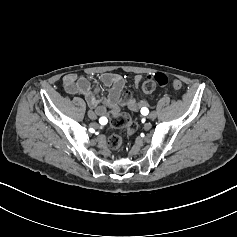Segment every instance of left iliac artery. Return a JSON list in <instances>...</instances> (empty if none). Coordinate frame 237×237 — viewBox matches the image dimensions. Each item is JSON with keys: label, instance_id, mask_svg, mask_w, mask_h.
I'll use <instances>...</instances> for the list:
<instances>
[{"label": "left iliac artery", "instance_id": "1", "mask_svg": "<svg viewBox=\"0 0 237 237\" xmlns=\"http://www.w3.org/2000/svg\"><path fill=\"white\" fill-rule=\"evenodd\" d=\"M149 113V110L146 108V107H143L142 109H141V114L142 115H147Z\"/></svg>", "mask_w": 237, "mask_h": 237}]
</instances>
